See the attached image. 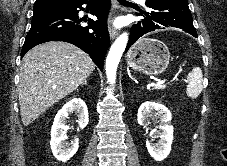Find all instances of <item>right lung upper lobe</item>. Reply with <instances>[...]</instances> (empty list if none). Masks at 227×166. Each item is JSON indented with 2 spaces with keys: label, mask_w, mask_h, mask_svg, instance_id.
Here are the masks:
<instances>
[{
  "label": "right lung upper lobe",
  "mask_w": 227,
  "mask_h": 166,
  "mask_svg": "<svg viewBox=\"0 0 227 166\" xmlns=\"http://www.w3.org/2000/svg\"><path fill=\"white\" fill-rule=\"evenodd\" d=\"M80 0H36L34 6L38 5H71Z\"/></svg>",
  "instance_id": "obj_1"
}]
</instances>
